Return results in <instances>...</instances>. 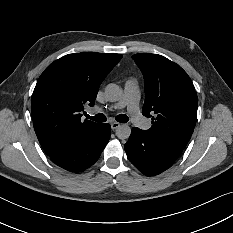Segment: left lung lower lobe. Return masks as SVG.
Instances as JSON below:
<instances>
[{
	"label": "left lung lower lobe",
	"mask_w": 233,
	"mask_h": 233,
	"mask_svg": "<svg viewBox=\"0 0 233 233\" xmlns=\"http://www.w3.org/2000/svg\"><path fill=\"white\" fill-rule=\"evenodd\" d=\"M124 148L130 162L147 176L158 175L170 168L184 149L151 138L136 127L132 128Z\"/></svg>",
	"instance_id": "1"
}]
</instances>
